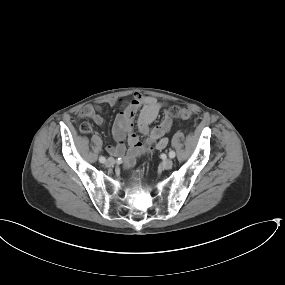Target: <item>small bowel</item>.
<instances>
[{
  "mask_svg": "<svg viewBox=\"0 0 285 285\" xmlns=\"http://www.w3.org/2000/svg\"><path fill=\"white\" fill-rule=\"evenodd\" d=\"M116 103L114 99L109 100V104L112 106ZM168 109L167 103L140 93H135L131 98L125 99L113 126V136L117 143L108 146V151L118 155L125 153L124 167L132 168L141 154L147 153L151 149H164L168 145L165 134L173 125L172 119L168 115ZM99 110L100 106L98 105H84L78 113V118H90L95 124L104 126L106 120L98 114ZM160 111H164L165 116L156 126L150 128ZM135 126L138 132L145 137L144 143L140 142L138 135L134 132ZM80 130L82 133H90L92 126L88 122H82ZM124 141L128 143L127 150L124 147Z\"/></svg>",
  "mask_w": 285,
  "mask_h": 285,
  "instance_id": "1",
  "label": "small bowel"
}]
</instances>
